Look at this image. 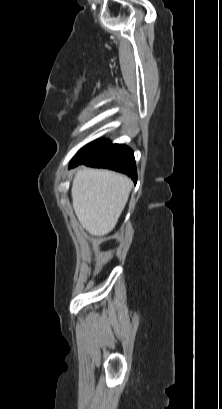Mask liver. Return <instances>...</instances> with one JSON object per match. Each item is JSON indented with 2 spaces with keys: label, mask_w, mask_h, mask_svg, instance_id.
<instances>
[{
  "label": "liver",
  "mask_w": 222,
  "mask_h": 409,
  "mask_svg": "<svg viewBox=\"0 0 222 409\" xmlns=\"http://www.w3.org/2000/svg\"><path fill=\"white\" fill-rule=\"evenodd\" d=\"M133 183L110 170L80 168L73 179L71 195L82 227L94 236H104L116 226L128 201Z\"/></svg>",
  "instance_id": "6515ba94"
}]
</instances>
